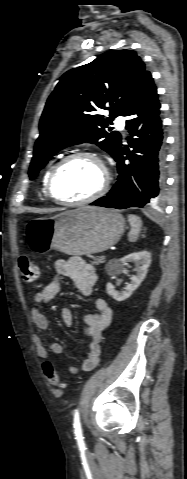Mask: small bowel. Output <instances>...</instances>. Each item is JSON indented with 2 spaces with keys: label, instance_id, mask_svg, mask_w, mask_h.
Instances as JSON below:
<instances>
[{
  "label": "small bowel",
  "instance_id": "obj_1",
  "mask_svg": "<svg viewBox=\"0 0 187 479\" xmlns=\"http://www.w3.org/2000/svg\"><path fill=\"white\" fill-rule=\"evenodd\" d=\"M63 277L70 278L82 295H90L97 281L94 267L80 257H71L69 259L56 261L55 278L34 295L33 304L29 309V314L34 324L43 332L48 331V320L41 312V306L51 303L56 298L60 290L61 278ZM95 309L94 313L88 314L85 317L86 326L84 333L90 340L87 357L79 368L75 366L68 367L71 374H77L80 371L88 372L98 365L101 353L100 342L102 333L110 324L113 311L103 298H97L95 300ZM61 318L66 326L70 327L73 324V313L69 306L62 308ZM33 341L38 357L44 361L43 366L45 363H51L48 359V352L44 346L43 339L36 334L34 335ZM50 350L54 354H61L64 347L59 342H52L50 344Z\"/></svg>",
  "mask_w": 187,
  "mask_h": 479
}]
</instances>
